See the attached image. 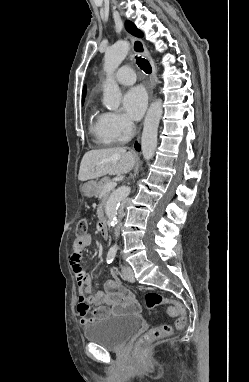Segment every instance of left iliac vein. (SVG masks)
<instances>
[{"label": "left iliac vein", "mask_w": 249, "mask_h": 382, "mask_svg": "<svg viewBox=\"0 0 249 382\" xmlns=\"http://www.w3.org/2000/svg\"><path fill=\"white\" fill-rule=\"evenodd\" d=\"M123 277L129 282H134L133 270L131 267L126 266L123 270Z\"/></svg>", "instance_id": "obj_1"}]
</instances>
